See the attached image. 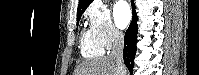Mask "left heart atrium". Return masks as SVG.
<instances>
[{
	"label": "left heart atrium",
	"instance_id": "left-heart-atrium-1",
	"mask_svg": "<svg viewBox=\"0 0 199 75\" xmlns=\"http://www.w3.org/2000/svg\"><path fill=\"white\" fill-rule=\"evenodd\" d=\"M114 18L119 28H125L131 19V12L125 1H119L114 7Z\"/></svg>",
	"mask_w": 199,
	"mask_h": 75
}]
</instances>
